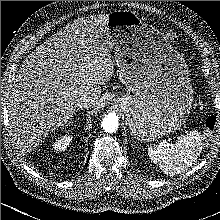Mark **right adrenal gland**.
Masks as SVG:
<instances>
[{"label": "right adrenal gland", "instance_id": "2a0ac1e0", "mask_svg": "<svg viewBox=\"0 0 220 220\" xmlns=\"http://www.w3.org/2000/svg\"><path fill=\"white\" fill-rule=\"evenodd\" d=\"M75 121H79V119H76ZM70 123H73V120H71ZM70 123H69V124H70Z\"/></svg>", "mask_w": 220, "mask_h": 220}]
</instances>
